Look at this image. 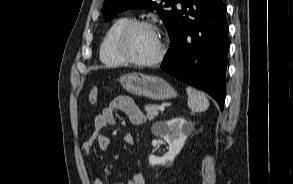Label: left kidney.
Instances as JSON below:
<instances>
[{
  "label": "left kidney",
  "mask_w": 293,
  "mask_h": 184,
  "mask_svg": "<svg viewBox=\"0 0 293 184\" xmlns=\"http://www.w3.org/2000/svg\"><path fill=\"white\" fill-rule=\"evenodd\" d=\"M194 130L191 122L183 117H176L161 124L159 134L168 143L169 150L162 157L149 155V164L156 165H172L175 157L183 148L187 137Z\"/></svg>",
  "instance_id": "left-kidney-1"
}]
</instances>
